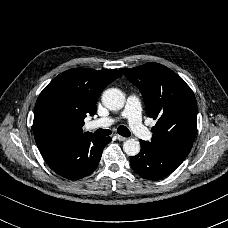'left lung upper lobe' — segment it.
Masks as SVG:
<instances>
[{"label": "left lung upper lobe", "mask_w": 228, "mask_h": 228, "mask_svg": "<svg viewBox=\"0 0 228 228\" xmlns=\"http://www.w3.org/2000/svg\"><path fill=\"white\" fill-rule=\"evenodd\" d=\"M143 95L146 112L157 121L149 142L153 148L187 156L196 135L197 103L185 81L157 63L121 68Z\"/></svg>", "instance_id": "1"}]
</instances>
